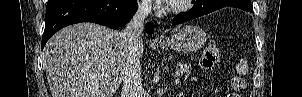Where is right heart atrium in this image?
<instances>
[{
  "instance_id": "d8ad5b80",
  "label": "right heart atrium",
  "mask_w": 302,
  "mask_h": 97,
  "mask_svg": "<svg viewBox=\"0 0 302 97\" xmlns=\"http://www.w3.org/2000/svg\"><path fill=\"white\" fill-rule=\"evenodd\" d=\"M142 10H143L144 12H147V9H146V8H143Z\"/></svg>"
}]
</instances>
